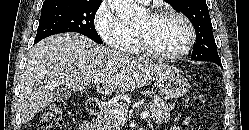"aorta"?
<instances>
[{"instance_id": "aorta-1", "label": "aorta", "mask_w": 249, "mask_h": 130, "mask_svg": "<svg viewBox=\"0 0 249 130\" xmlns=\"http://www.w3.org/2000/svg\"><path fill=\"white\" fill-rule=\"evenodd\" d=\"M111 10L125 23L137 22L144 13L134 0H108Z\"/></svg>"}]
</instances>
